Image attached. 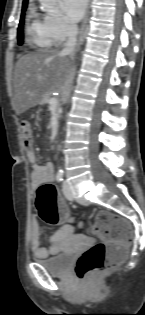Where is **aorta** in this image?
Masks as SVG:
<instances>
[{
    "label": "aorta",
    "mask_w": 145,
    "mask_h": 315,
    "mask_svg": "<svg viewBox=\"0 0 145 315\" xmlns=\"http://www.w3.org/2000/svg\"><path fill=\"white\" fill-rule=\"evenodd\" d=\"M41 3V9L47 12L55 11V4L57 0H39ZM59 173L62 174V170L59 169Z\"/></svg>",
    "instance_id": "1"
}]
</instances>
